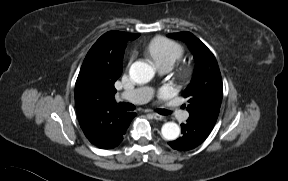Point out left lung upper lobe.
<instances>
[{"label":"left lung upper lobe","mask_w":288,"mask_h":181,"mask_svg":"<svg viewBox=\"0 0 288 181\" xmlns=\"http://www.w3.org/2000/svg\"><path fill=\"white\" fill-rule=\"evenodd\" d=\"M168 37L186 42L195 57L194 75L184 92L189 102V119L214 126L223 97L221 74L214 55L190 32L172 33Z\"/></svg>","instance_id":"1"}]
</instances>
